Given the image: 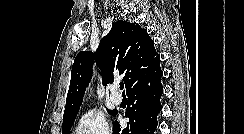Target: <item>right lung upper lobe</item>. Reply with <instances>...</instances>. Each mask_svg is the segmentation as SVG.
I'll return each instance as SVG.
<instances>
[{"label":"right lung upper lobe","mask_w":244,"mask_h":134,"mask_svg":"<svg viewBox=\"0 0 244 134\" xmlns=\"http://www.w3.org/2000/svg\"><path fill=\"white\" fill-rule=\"evenodd\" d=\"M96 62L102 72L103 84L123 76L127 93L160 76V56L146 29L137 23L119 20L101 39L96 52H79L74 60L64 118L77 115Z\"/></svg>","instance_id":"obj_1"}]
</instances>
